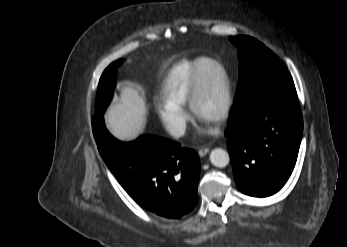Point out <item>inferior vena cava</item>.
<instances>
[{
	"label": "inferior vena cava",
	"instance_id": "obj_1",
	"mask_svg": "<svg viewBox=\"0 0 347 247\" xmlns=\"http://www.w3.org/2000/svg\"><path fill=\"white\" fill-rule=\"evenodd\" d=\"M167 129L172 136L179 138L185 134L186 124L184 122H174L169 124Z\"/></svg>",
	"mask_w": 347,
	"mask_h": 247
}]
</instances>
